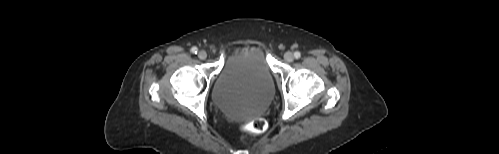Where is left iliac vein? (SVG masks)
I'll return each instance as SVG.
<instances>
[{
    "mask_svg": "<svg viewBox=\"0 0 499 154\" xmlns=\"http://www.w3.org/2000/svg\"><path fill=\"white\" fill-rule=\"evenodd\" d=\"M284 58L286 61L288 62H292L294 60V55L292 52L290 51H287L285 54H284Z\"/></svg>",
    "mask_w": 499,
    "mask_h": 154,
    "instance_id": "obj_1",
    "label": "left iliac vein"
}]
</instances>
